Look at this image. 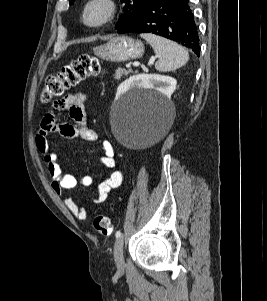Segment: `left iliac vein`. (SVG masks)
Segmentation results:
<instances>
[{
    "instance_id": "1",
    "label": "left iliac vein",
    "mask_w": 267,
    "mask_h": 301,
    "mask_svg": "<svg viewBox=\"0 0 267 301\" xmlns=\"http://www.w3.org/2000/svg\"><path fill=\"white\" fill-rule=\"evenodd\" d=\"M123 244V236L117 238L114 244V260L117 268L120 270L124 268Z\"/></svg>"
}]
</instances>
